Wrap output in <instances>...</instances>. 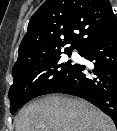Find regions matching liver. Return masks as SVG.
I'll list each match as a JSON object with an SVG mask.
<instances>
[{
  "label": "liver",
  "mask_w": 117,
  "mask_h": 131,
  "mask_svg": "<svg viewBox=\"0 0 117 131\" xmlns=\"http://www.w3.org/2000/svg\"><path fill=\"white\" fill-rule=\"evenodd\" d=\"M16 131H115V126L85 100L49 95L20 111Z\"/></svg>",
  "instance_id": "1"
}]
</instances>
